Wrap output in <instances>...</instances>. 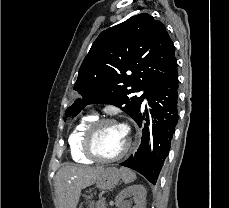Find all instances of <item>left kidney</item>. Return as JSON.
<instances>
[{"instance_id": "obj_1", "label": "left kidney", "mask_w": 229, "mask_h": 208, "mask_svg": "<svg viewBox=\"0 0 229 208\" xmlns=\"http://www.w3.org/2000/svg\"><path fill=\"white\" fill-rule=\"evenodd\" d=\"M146 196L147 192L144 186H129L116 196L117 206L118 208H126L127 204L123 202L124 198H134L137 204L136 208H146Z\"/></svg>"}]
</instances>
